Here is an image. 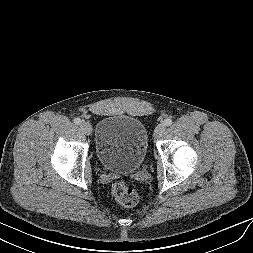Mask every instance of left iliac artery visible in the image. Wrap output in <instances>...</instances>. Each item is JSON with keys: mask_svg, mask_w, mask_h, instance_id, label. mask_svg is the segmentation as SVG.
Segmentation results:
<instances>
[{"mask_svg": "<svg viewBox=\"0 0 253 253\" xmlns=\"http://www.w3.org/2000/svg\"><path fill=\"white\" fill-rule=\"evenodd\" d=\"M171 124H172V119L167 118V119L164 120V125L170 126Z\"/></svg>", "mask_w": 253, "mask_h": 253, "instance_id": "44dca946", "label": "left iliac artery"}]
</instances>
